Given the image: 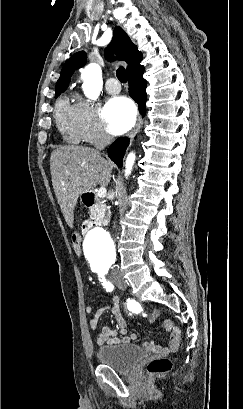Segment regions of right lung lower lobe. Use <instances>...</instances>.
I'll return each instance as SVG.
<instances>
[{"label":"right lung lower lobe","mask_w":243,"mask_h":409,"mask_svg":"<svg viewBox=\"0 0 243 409\" xmlns=\"http://www.w3.org/2000/svg\"><path fill=\"white\" fill-rule=\"evenodd\" d=\"M144 71L138 72L135 75L128 77L130 96L136 100L139 105L141 114L144 116L146 108V80L143 79ZM129 140L126 137L117 139L108 150L109 157L118 166L122 167L123 156Z\"/></svg>","instance_id":"98d812e1"}]
</instances>
